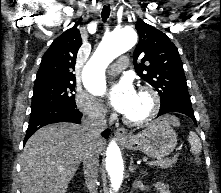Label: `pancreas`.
Returning a JSON list of instances; mask_svg holds the SVG:
<instances>
[{"instance_id": "pancreas-1", "label": "pancreas", "mask_w": 221, "mask_h": 193, "mask_svg": "<svg viewBox=\"0 0 221 193\" xmlns=\"http://www.w3.org/2000/svg\"><path fill=\"white\" fill-rule=\"evenodd\" d=\"M176 162H177L176 158L164 159V160L155 161L153 166H157V167H160L162 169H167V168L172 167Z\"/></svg>"}]
</instances>
